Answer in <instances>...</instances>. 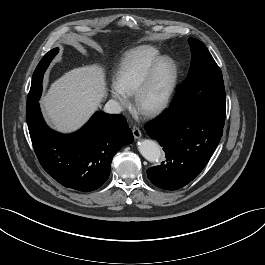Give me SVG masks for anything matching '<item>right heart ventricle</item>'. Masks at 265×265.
<instances>
[{
  "label": "right heart ventricle",
  "mask_w": 265,
  "mask_h": 265,
  "mask_svg": "<svg viewBox=\"0 0 265 265\" xmlns=\"http://www.w3.org/2000/svg\"><path fill=\"white\" fill-rule=\"evenodd\" d=\"M160 57V51L151 45H142L130 50L116 71V88L126 96L133 95L152 64Z\"/></svg>",
  "instance_id": "1"
}]
</instances>
